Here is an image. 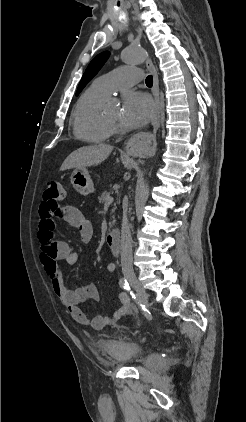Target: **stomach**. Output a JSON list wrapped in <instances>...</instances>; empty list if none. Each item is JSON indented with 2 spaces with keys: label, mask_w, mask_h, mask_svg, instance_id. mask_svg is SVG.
Here are the masks:
<instances>
[{
  "label": "stomach",
  "mask_w": 246,
  "mask_h": 422,
  "mask_svg": "<svg viewBox=\"0 0 246 422\" xmlns=\"http://www.w3.org/2000/svg\"><path fill=\"white\" fill-rule=\"evenodd\" d=\"M74 189L81 195L94 192V185L87 169H75L70 177Z\"/></svg>",
  "instance_id": "obj_1"
}]
</instances>
